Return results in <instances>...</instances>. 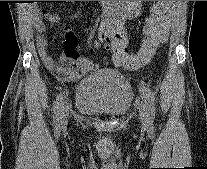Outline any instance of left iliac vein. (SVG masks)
I'll return each instance as SVG.
<instances>
[{
  "mask_svg": "<svg viewBox=\"0 0 207 169\" xmlns=\"http://www.w3.org/2000/svg\"><path fill=\"white\" fill-rule=\"evenodd\" d=\"M139 115H140L142 124L146 126L148 123V116H147V113L144 107L140 108Z\"/></svg>",
  "mask_w": 207,
  "mask_h": 169,
  "instance_id": "1",
  "label": "left iliac vein"
}]
</instances>
